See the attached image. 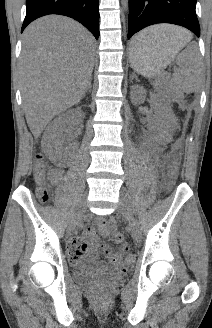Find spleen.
Listing matches in <instances>:
<instances>
[{"mask_svg":"<svg viewBox=\"0 0 212 328\" xmlns=\"http://www.w3.org/2000/svg\"><path fill=\"white\" fill-rule=\"evenodd\" d=\"M154 27L145 29L134 37L135 42L141 44L139 48H134L135 50L145 49L151 45L161 43V33ZM171 39H177V36H172ZM177 64L180 68L173 76L174 85L177 89L187 93L196 92L202 79L196 43H191L180 53Z\"/></svg>","mask_w":212,"mask_h":328,"instance_id":"1","label":"spleen"}]
</instances>
